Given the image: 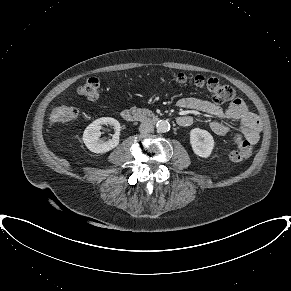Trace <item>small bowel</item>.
Listing matches in <instances>:
<instances>
[{
	"mask_svg": "<svg viewBox=\"0 0 291 291\" xmlns=\"http://www.w3.org/2000/svg\"><path fill=\"white\" fill-rule=\"evenodd\" d=\"M177 105L181 108L197 110L213 117L210 128L217 135H224L228 132L229 121H239L242 134L251 144H255L259 140L261 122L248 109L244 101L239 98L233 100L225 108L208 100L195 97L182 98ZM177 123L183 127L189 126L192 123V117L181 115L177 118Z\"/></svg>",
	"mask_w": 291,
	"mask_h": 291,
	"instance_id": "obj_1",
	"label": "small bowel"
}]
</instances>
